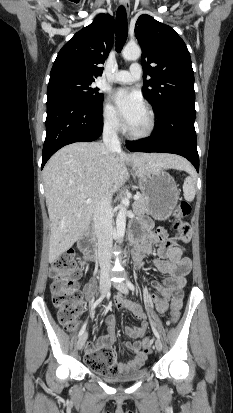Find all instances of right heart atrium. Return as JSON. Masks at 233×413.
Masks as SVG:
<instances>
[{"label":"right heart atrium","mask_w":233,"mask_h":413,"mask_svg":"<svg viewBox=\"0 0 233 413\" xmlns=\"http://www.w3.org/2000/svg\"><path fill=\"white\" fill-rule=\"evenodd\" d=\"M102 120L104 126L109 130L119 131L122 128L121 120L116 110L109 102H105L103 105Z\"/></svg>","instance_id":"d8ad5b80"}]
</instances>
